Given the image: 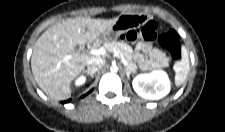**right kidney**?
<instances>
[{
  "label": "right kidney",
  "mask_w": 225,
  "mask_h": 132,
  "mask_svg": "<svg viewBox=\"0 0 225 132\" xmlns=\"http://www.w3.org/2000/svg\"><path fill=\"white\" fill-rule=\"evenodd\" d=\"M86 82V78L84 76L79 77L76 81H75V85L76 86H81Z\"/></svg>",
  "instance_id": "obj_1"
}]
</instances>
